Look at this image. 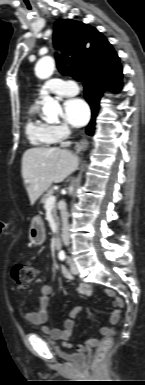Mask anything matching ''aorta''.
Instances as JSON below:
<instances>
[{
  "label": "aorta",
  "instance_id": "obj_1",
  "mask_svg": "<svg viewBox=\"0 0 145 385\" xmlns=\"http://www.w3.org/2000/svg\"><path fill=\"white\" fill-rule=\"evenodd\" d=\"M54 67V60L51 57H44L37 62L35 74L40 79H47L53 74ZM43 101V114L47 119L55 120L62 112L60 104L48 94L44 95ZM69 191H72V187L69 188Z\"/></svg>",
  "mask_w": 145,
  "mask_h": 385
}]
</instances>
